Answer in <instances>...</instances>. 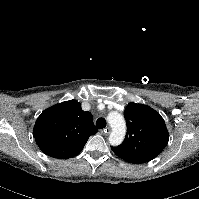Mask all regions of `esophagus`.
Listing matches in <instances>:
<instances>
[{"label":"esophagus","mask_w":199,"mask_h":199,"mask_svg":"<svg viewBox=\"0 0 199 199\" xmlns=\"http://www.w3.org/2000/svg\"><path fill=\"white\" fill-rule=\"evenodd\" d=\"M110 132H111L110 127H106V128L102 131V133H104L105 135H109Z\"/></svg>","instance_id":"obj_1"}]
</instances>
